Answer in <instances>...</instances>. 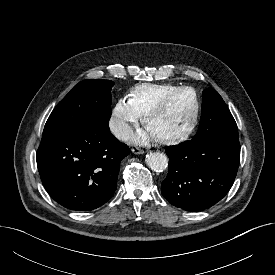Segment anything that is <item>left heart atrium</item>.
Segmentation results:
<instances>
[{
	"label": "left heart atrium",
	"instance_id": "39dd6f15",
	"mask_svg": "<svg viewBox=\"0 0 275 275\" xmlns=\"http://www.w3.org/2000/svg\"><path fill=\"white\" fill-rule=\"evenodd\" d=\"M154 139H156L155 136L148 128L146 130L139 131L133 136V141L138 144H145Z\"/></svg>",
	"mask_w": 275,
	"mask_h": 275
}]
</instances>
